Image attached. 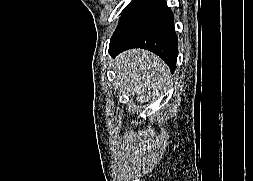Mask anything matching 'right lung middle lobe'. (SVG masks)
Here are the masks:
<instances>
[{
    "label": "right lung middle lobe",
    "instance_id": "dd1d6c3e",
    "mask_svg": "<svg viewBox=\"0 0 253 181\" xmlns=\"http://www.w3.org/2000/svg\"><path fill=\"white\" fill-rule=\"evenodd\" d=\"M136 0H132L129 5L122 11V15L135 3ZM122 17V16H121Z\"/></svg>",
    "mask_w": 253,
    "mask_h": 181
}]
</instances>
